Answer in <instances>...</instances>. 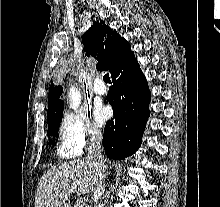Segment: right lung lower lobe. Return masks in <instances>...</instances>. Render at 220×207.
Returning a JSON list of instances; mask_svg holds the SVG:
<instances>
[{
    "instance_id": "right-lung-lower-lobe-1",
    "label": "right lung lower lobe",
    "mask_w": 220,
    "mask_h": 207,
    "mask_svg": "<svg viewBox=\"0 0 220 207\" xmlns=\"http://www.w3.org/2000/svg\"><path fill=\"white\" fill-rule=\"evenodd\" d=\"M111 77L113 86L106 99L114 118L105 125L103 145L110 159H124L140 147L150 94L133 52L115 65Z\"/></svg>"
}]
</instances>
